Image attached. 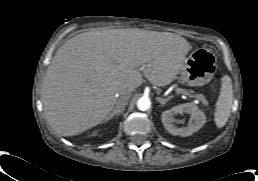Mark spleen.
I'll list each match as a JSON object with an SVG mask.
<instances>
[{"label":"spleen","mask_w":258,"mask_h":181,"mask_svg":"<svg viewBox=\"0 0 258 181\" xmlns=\"http://www.w3.org/2000/svg\"><path fill=\"white\" fill-rule=\"evenodd\" d=\"M233 105V86L232 80L228 75L222 78L220 95L216 102V111L214 113V120L217 128H222L227 123L231 114Z\"/></svg>","instance_id":"3e777b00"}]
</instances>
